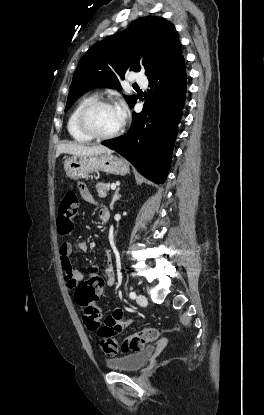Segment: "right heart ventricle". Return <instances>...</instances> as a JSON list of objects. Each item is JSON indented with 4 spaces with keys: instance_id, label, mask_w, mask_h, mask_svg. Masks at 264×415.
<instances>
[{
    "instance_id": "obj_1",
    "label": "right heart ventricle",
    "mask_w": 264,
    "mask_h": 415,
    "mask_svg": "<svg viewBox=\"0 0 264 415\" xmlns=\"http://www.w3.org/2000/svg\"><path fill=\"white\" fill-rule=\"evenodd\" d=\"M96 95H86L82 97L77 104L74 106L73 110L69 114L68 121H67V130L69 135L79 143H88L92 141L91 138L86 136L84 133L81 132L77 125V117L80 110L88 103L96 100Z\"/></svg>"
}]
</instances>
